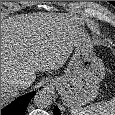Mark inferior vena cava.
I'll return each instance as SVG.
<instances>
[{"mask_svg":"<svg viewBox=\"0 0 115 115\" xmlns=\"http://www.w3.org/2000/svg\"><path fill=\"white\" fill-rule=\"evenodd\" d=\"M14 85L18 88V89H22V88H26L29 86V83L23 79V78H18L15 80Z\"/></svg>","mask_w":115,"mask_h":115,"instance_id":"inferior-vena-cava-1","label":"inferior vena cava"}]
</instances>
